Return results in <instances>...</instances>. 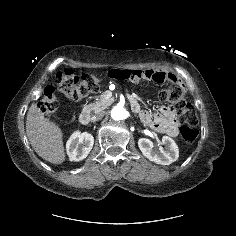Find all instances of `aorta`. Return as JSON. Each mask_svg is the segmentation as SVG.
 <instances>
[{
  "label": "aorta",
  "instance_id": "aorta-1",
  "mask_svg": "<svg viewBox=\"0 0 236 236\" xmlns=\"http://www.w3.org/2000/svg\"><path fill=\"white\" fill-rule=\"evenodd\" d=\"M127 111L123 105L117 104L111 110V118L120 121L126 118Z\"/></svg>",
  "mask_w": 236,
  "mask_h": 236
}]
</instances>
